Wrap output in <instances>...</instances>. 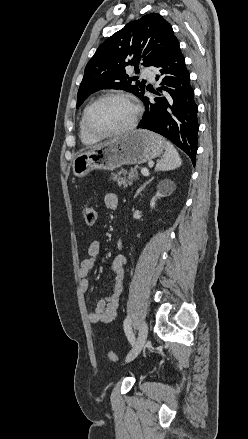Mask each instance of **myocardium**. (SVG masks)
I'll list each match as a JSON object with an SVG mask.
<instances>
[{"label":"myocardium","mask_w":248,"mask_h":439,"mask_svg":"<svg viewBox=\"0 0 248 439\" xmlns=\"http://www.w3.org/2000/svg\"><path fill=\"white\" fill-rule=\"evenodd\" d=\"M106 99H118V100H122L127 102L128 104H130L134 110L133 113V117L131 119V121L129 122L128 125H126L125 127L119 129V130H115V131H99L97 129H95L91 123H90V113L91 110L101 101L106 100ZM140 112L141 109L139 107V105L136 103V101L131 98L130 96L123 94V93H117V92H112V93H105L101 96H99L98 98H96L94 101H92L85 109L84 111V126L86 131L91 134L94 137L97 138H106V137H112V136H118V135H122V134H126L130 131H132L139 120L140 117Z\"/></svg>","instance_id":"f54148a6"}]
</instances>
